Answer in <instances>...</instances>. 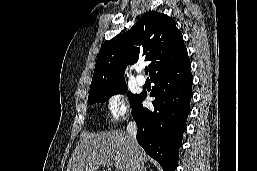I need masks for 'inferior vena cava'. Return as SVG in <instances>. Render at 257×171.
I'll use <instances>...</instances> for the list:
<instances>
[{
  "mask_svg": "<svg viewBox=\"0 0 257 171\" xmlns=\"http://www.w3.org/2000/svg\"><path fill=\"white\" fill-rule=\"evenodd\" d=\"M137 124L133 121L129 122L127 125V134L129 135L131 142V150L130 155L132 158L131 161V171H143V166L140 163V159L138 156V143L136 140L137 135Z\"/></svg>",
  "mask_w": 257,
  "mask_h": 171,
  "instance_id": "602c4592",
  "label": "inferior vena cava"
}]
</instances>
